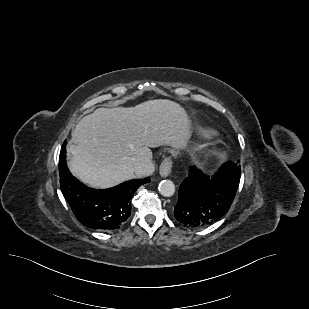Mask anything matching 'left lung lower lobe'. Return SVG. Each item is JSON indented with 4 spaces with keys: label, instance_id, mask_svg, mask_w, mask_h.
<instances>
[{
    "label": "left lung lower lobe",
    "instance_id": "1",
    "mask_svg": "<svg viewBox=\"0 0 309 309\" xmlns=\"http://www.w3.org/2000/svg\"><path fill=\"white\" fill-rule=\"evenodd\" d=\"M241 167L226 162L211 178L195 167L179 188L175 218L185 227L203 228L221 219L237 192Z\"/></svg>",
    "mask_w": 309,
    "mask_h": 309
}]
</instances>
